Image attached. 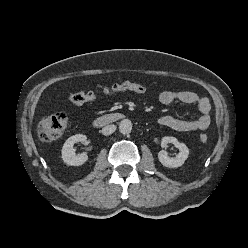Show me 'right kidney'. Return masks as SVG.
<instances>
[{
  "label": "right kidney",
  "instance_id": "1",
  "mask_svg": "<svg viewBox=\"0 0 248 248\" xmlns=\"http://www.w3.org/2000/svg\"><path fill=\"white\" fill-rule=\"evenodd\" d=\"M87 140L86 135L76 134L69 137L62 147V159L70 166H81L88 160V155L84 152L79 155H75L73 146L77 142L85 143Z\"/></svg>",
  "mask_w": 248,
  "mask_h": 248
}]
</instances>
